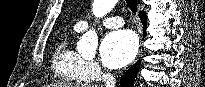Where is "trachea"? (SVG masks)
<instances>
[{
	"mask_svg": "<svg viewBox=\"0 0 205 87\" xmlns=\"http://www.w3.org/2000/svg\"><path fill=\"white\" fill-rule=\"evenodd\" d=\"M127 7L133 12L137 11V0H126Z\"/></svg>",
	"mask_w": 205,
	"mask_h": 87,
	"instance_id": "1",
	"label": "trachea"
}]
</instances>
